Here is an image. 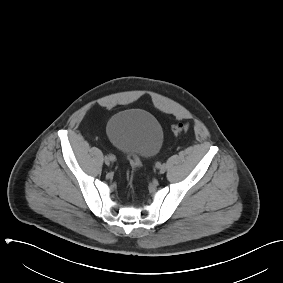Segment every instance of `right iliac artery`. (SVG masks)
Wrapping results in <instances>:
<instances>
[{"instance_id":"1","label":"right iliac artery","mask_w":283,"mask_h":283,"mask_svg":"<svg viewBox=\"0 0 283 283\" xmlns=\"http://www.w3.org/2000/svg\"><path fill=\"white\" fill-rule=\"evenodd\" d=\"M112 161H115V156L114 155H109Z\"/></svg>"}]
</instances>
